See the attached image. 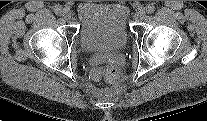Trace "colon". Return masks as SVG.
I'll list each match as a JSON object with an SVG mask.
<instances>
[{
  "label": "colon",
  "instance_id": "obj_1",
  "mask_svg": "<svg viewBox=\"0 0 207 121\" xmlns=\"http://www.w3.org/2000/svg\"><path fill=\"white\" fill-rule=\"evenodd\" d=\"M95 73L96 74H103L105 79L108 82H115V81H117V79L119 77V71H118L117 67H115L113 65L106 67L102 71H96Z\"/></svg>",
  "mask_w": 207,
  "mask_h": 121
}]
</instances>
